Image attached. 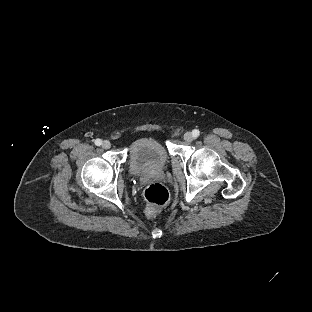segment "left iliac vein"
<instances>
[{
	"mask_svg": "<svg viewBox=\"0 0 312 312\" xmlns=\"http://www.w3.org/2000/svg\"><path fill=\"white\" fill-rule=\"evenodd\" d=\"M184 139L187 141V142H191L193 139H194V136L191 132H186L184 134Z\"/></svg>",
	"mask_w": 312,
	"mask_h": 312,
	"instance_id": "obj_1",
	"label": "left iliac vein"
}]
</instances>
